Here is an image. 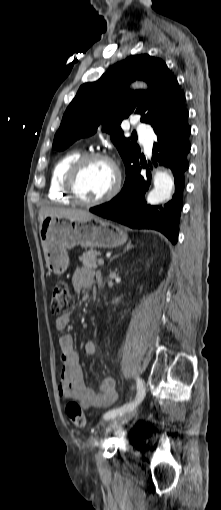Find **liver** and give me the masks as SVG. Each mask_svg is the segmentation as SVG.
Listing matches in <instances>:
<instances>
[{
  "mask_svg": "<svg viewBox=\"0 0 221 510\" xmlns=\"http://www.w3.org/2000/svg\"><path fill=\"white\" fill-rule=\"evenodd\" d=\"M56 215L66 217L68 219H81V218L94 217V215H92L90 212H88L86 210L63 208V207H42L39 210L38 221H39V223H41L45 216H56Z\"/></svg>",
  "mask_w": 221,
  "mask_h": 510,
  "instance_id": "obj_1",
  "label": "liver"
}]
</instances>
